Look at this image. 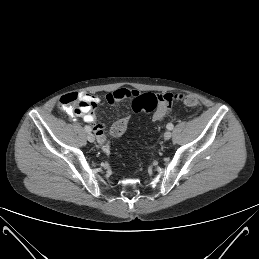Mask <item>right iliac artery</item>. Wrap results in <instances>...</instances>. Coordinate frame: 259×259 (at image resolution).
I'll list each match as a JSON object with an SVG mask.
<instances>
[{
	"label": "right iliac artery",
	"instance_id": "82829eb1",
	"mask_svg": "<svg viewBox=\"0 0 259 259\" xmlns=\"http://www.w3.org/2000/svg\"><path fill=\"white\" fill-rule=\"evenodd\" d=\"M84 129H85L86 132H91V127L88 126V125H86V126L84 127Z\"/></svg>",
	"mask_w": 259,
	"mask_h": 259
}]
</instances>
